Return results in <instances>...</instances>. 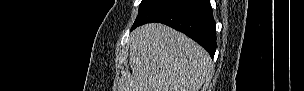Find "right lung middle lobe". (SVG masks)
Here are the masks:
<instances>
[{"instance_id": "1", "label": "right lung middle lobe", "mask_w": 304, "mask_h": 91, "mask_svg": "<svg viewBox=\"0 0 304 91\" xmlns=\"http://www.w3.org/2000/svg\"><path fill=\"white\" fill-rule=\"evenodd\" d=\"M150 0H142L140 6H139V12L138 15L141 13V11L149 4Z\"/></svg>"}]
</instances>
